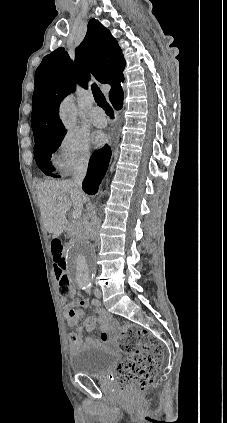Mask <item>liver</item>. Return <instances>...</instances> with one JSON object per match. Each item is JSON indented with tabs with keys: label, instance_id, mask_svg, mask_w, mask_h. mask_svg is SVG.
<instances>
[{
	"label": "liver",
	"instance_id": "obj_1",
	"mask_svg": "<svg viewBox=\"0 0 227 423\" xmlns=\"http://www.w3.org/2000/svg\"><path fill=\"white\" fill-rule=\"evenodd\" d=\"M36 194L44 227L52 237H59L63 231L71 233L72 229L71 225L68 227L66 211L73 206L74 210L82 213L83 206L87 202L86 194L75 190L71 180L41 182L36 186ZM61 198L63 202H61ZM84 223L85 229L88 231L89 221L84 219Z\"/></svg>",
	"mask_w": 227,
	"mask_h": 423
}]
</instances>
